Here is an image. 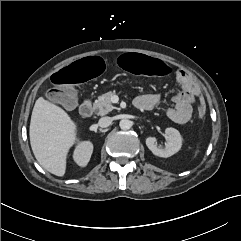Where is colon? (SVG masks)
I'll return each mask as SVG.
<instances>
[{
	"mask_svg": "<svg viewBox=\"0 0 241 241\" xmlns=\"http://www.w3.org/2000/svg\"><path fill=\"white\" fill-rule=\"evenodd\" d=\"M119 65L126 72L138 73L153 79H169L174 74V66L169 61L147 57L143 52L124 53L119 58ZM106 59L98 53H91L70 63L64 70H55L50 75V82L55 88L50 92V99L63 107L74 103L73 93L67 85L75 82L91 81L102 76L106 70ZM205 105L200 101L198 114L203 117Z\"/></svg>",
	"mask_w": 241,
	"mask_h": 241,
	"instance_id": "obj_1",
	"label": "colon"
}]
</instances>
